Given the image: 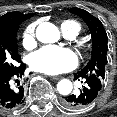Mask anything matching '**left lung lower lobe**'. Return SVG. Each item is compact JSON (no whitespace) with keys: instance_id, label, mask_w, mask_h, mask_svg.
I'll return each instance as SVG.
<instances>
[{"instance_id":"obj_1","label":"left lung lower lobe","mask_w":117,"mask_h":117,"mask_svg":"<svg viewBox=\"0 0 117 117\" xmlns=\"http://www.w3.org/2000/svg\"><path fill=\"white\" fill-rule=\"evenodd\" d=\"M74 79H83L85 86H82L80 93L65 97L63 105L70 109L83 108L91 105L96 100L103 81L95 74H87L81 71L74 73Z\"/></svg>"}]
</instances>
